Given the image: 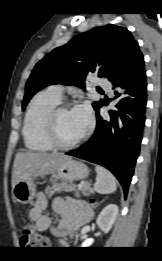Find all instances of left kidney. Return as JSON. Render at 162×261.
I'll use <instances>...</instances> for the list:
<instances>
[{"mask_svg":"<svg viewBox=\"0 0 162 261\" xmlns=\"http://www.w3.org/2000/svg\"><path fill=\"white\" fill-rule=\"evenodd\" d=\"M118 214V206L115 204H109L107 205L102 212L99 214L96 222L99 228L104 232L108 233Z\"/></svg>","mask_w":162,"mask_h":261,"instance_id":"1","label":"left kidney"}]
</instances>
